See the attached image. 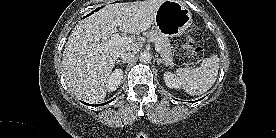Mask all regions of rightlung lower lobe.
<instances>
[{"instance_id": "1", "label": "right lung lower lobe", "mask_w": 276, "mask_h": 138, "mask_svg": "<svg viewBox=\"0 0 276 138\" xmlns=\"http://www.w3.org/2000/svg\"><path fill=\"white\" fill-rule=\"evenodd\" d=\"M112 101V100H111ZM84 104H86V105H91V104H88V103H85V102H83ZM108 103V102H107ZM107 103H103V104H97L96 106H103V105H105V104H107ZM92 106V105H91Z\"/></svg>"}]
</instances>
